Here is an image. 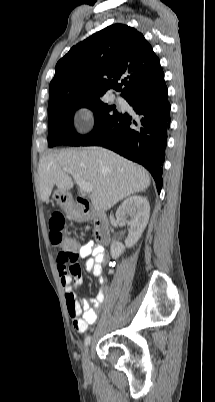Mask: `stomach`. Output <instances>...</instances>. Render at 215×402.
<instances>
[{
  "label": "stomach",
  "mask_w": 215,
  "mask_h": 402,
  "mask_svg": "<svg viewBox=\"0 0 215 402\" xmlns=\"http://www.w3.org/2000/svg\"><path fill=\"white\" fill-rule=\"evenodd\" d=\"M53 198L57 201V203L66 211H69L70 208V199L69 195L66 191L57 190L53 194Z\"/></svg>",
  "instance_id": "0dacf381"
}]
</instances>
